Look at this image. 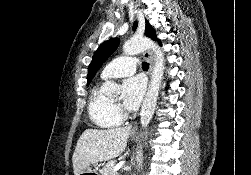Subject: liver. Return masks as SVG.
Wrapping results in <instances>:
<instances>
[{
    "instance_id": "1",
    "label": "liver",
    "mask_w": 251,
    "mask_h": 175,
    "mask_svg": "<svg viewBox=\"0 0 251 175\" xmlns=\"http://www.w3.org/2000/svg\"><path fill=\"white\" fill-rule=\"evenodd\" d=\"M130 131L131 125L114 129H85L72 157L74 175H79L92 163L118 157L127 145Z\"/></svg>"
}]
</instances>
